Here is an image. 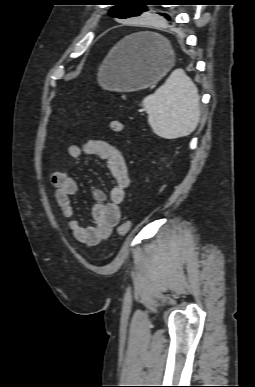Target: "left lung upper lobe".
Returning <instances> with one entry per match:
<instances>
[{
    "mask_svg": "<svg viewBox=\"0 0 255 387\" xmlns=\"http://www.w3.org/2000/svg\"><path fill=\"white\" fill-rule=\"evenodd\" d=\"M116 1L120 3L110 10L109 14L112 17L125 19L133 16H139L142 13V11H145L143 9L144 6L138 3L141 0H116ZM161 15H165V14H161Z\"/></svg>",
    "mask_w": 255,
    "mask_h": 387,
    "instance_id": "5c2ea615",
    "label": "left lung upper lobe"
}]
</instances>
